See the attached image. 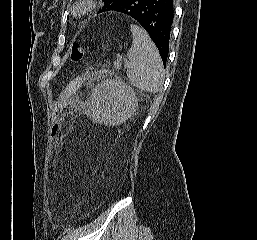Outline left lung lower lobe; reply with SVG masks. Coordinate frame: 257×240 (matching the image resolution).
<instances>
[{"instance_id":"left-lung-lower-lobe-1","label":"left lung lower lobe","mask_w":257,"mask_h":240,"mask_svg":"<svg viewBox=\"0 0 257 240\" xmlns=\"http://www.w3.org/2000/svg\"><path fill=\"white\" fill-rule=\"evenodd\" d=\"M109 11L120 12L136 20L149 33L166 65L174 16L173 0H123Z\"/></svg>"}]
</instances>
